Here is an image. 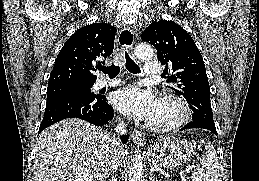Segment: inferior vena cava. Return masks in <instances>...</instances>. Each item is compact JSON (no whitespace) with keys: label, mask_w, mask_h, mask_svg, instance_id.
<instances>
[{"label":"inferior vena cava","mask_w":259,"mask_h":181,"mask_svg":"<svg viewBox=\"0 0 259 181\" xmlns=\"http://www.w3.org/2000/svg\"><path fill=\"white\" fill-rule=\"evenodd\" d=\"M115 131L118 133V134H126L127 133V126L124 122H120L117 124L116 128H115ZM117 146L119 149H122L123 146L121 145L120 142L117 141ZM119 158H118V155L116 152H114L112 154V158H111V163H110V171L111 173L114 174V171L118 170V167H119Z\"/></svg>","instance_id":"602c4592"}]
</instances>
